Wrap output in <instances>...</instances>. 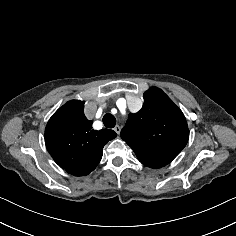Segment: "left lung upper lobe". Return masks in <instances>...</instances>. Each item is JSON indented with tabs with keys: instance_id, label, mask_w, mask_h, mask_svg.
I'll use <instances>...</instances> for the list:
<instances>
[{
	"instance_id": "1",
	"label": "left lung upper lobe",
	"mask_w": 236,
	"mask_h": 236,
	"mask_svg": "<svg viewBox=\"0 0 236 236\" xmlns=\"http://www.w3.org/2000/svg\"><path fill=\"white\" fill-rule=\"evenodd\" d=\"M137 113H130L121 138L133 149L139 161L150 168L170 163L189 138L182 111L159 88L151 87Z\"/></svg>"
}]
</instances>
